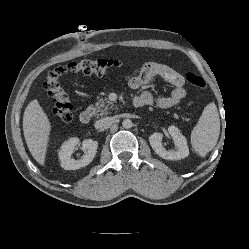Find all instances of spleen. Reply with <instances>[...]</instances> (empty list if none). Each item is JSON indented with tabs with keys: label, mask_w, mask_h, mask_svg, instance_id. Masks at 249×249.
I'll use <instances>...</instances> for the list:
<instances>
[{
	"label": "spleen",
	"mask_w": 249,
	"mask_h": 249,
	"mask_svg": "<svg viewBox=\"0 0 249 249\" xmlns=\"http://www.w3.org/2000/svg\"><path fill=\"white\" fill-rule=\"evenodd\" d=\"M220 134V118L217 107L209 103L203 110L198 124L191 133V144L194 150L205 157L217 144Z\"/></svg>",
	"instance_id": "obj_1"
}]
</instances>
